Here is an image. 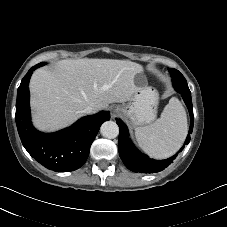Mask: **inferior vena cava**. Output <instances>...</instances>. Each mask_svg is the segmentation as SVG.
Wrapping results in <instances>:
<instances>
[{
    "label": "inferior vena cava",
    "instance_id": "obj_1",
    "mask_svg": "<svg viewBox=\"0 0 227 227\" xmlns=\"http://www.w3.org/2000/svg\"><path fill=\"white\" fill-rule=\"evenodd\" d=\"M94 112H95V108L92 106H87L83 110V113H85V114H90V113H94Z\"/></svg>",
    "mask_w": 227,
    "mask_h": 227
}]
</instances>
